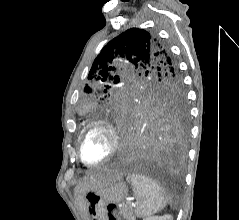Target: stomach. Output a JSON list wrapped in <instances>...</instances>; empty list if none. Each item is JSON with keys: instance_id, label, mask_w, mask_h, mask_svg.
<instances>
[{"instance_id": "0dacf381", "label": "stomach", "mask_w": 239, "mask_h": 220, "mask_svg": "<svg viewBox=\"0 0 239 220\" xmlns=\"http://www.w3.org/2000/svg\"><path fill=\"white\" fill-rule=\"evenodd\" d=\"M128 192L121 179H112L102 187L89 190L84 195L85 212L89 220H123L122 201Z\"/></svg>"}]
</instances>
